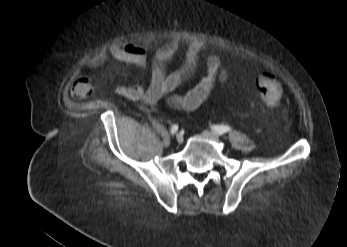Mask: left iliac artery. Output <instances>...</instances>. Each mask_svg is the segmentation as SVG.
<instances>
[{
	"instance_id": "left-iliac-artery-1",
	"label": "left iliac artery",
	"mask_w": 347,
	"mask_h": 247,
	"mask_svg": "<svg viewBox=\"0 0 347 247\" xmlns=\"http://www.w3.org/2000/svg\"><path fill=\"white\" fill-rule=\"evenodd\" d=\"M212 130L215 131L217 134L222 135L226 132L231 131V128L225 125H213Z\"/></svg>"
}]
</instances>
